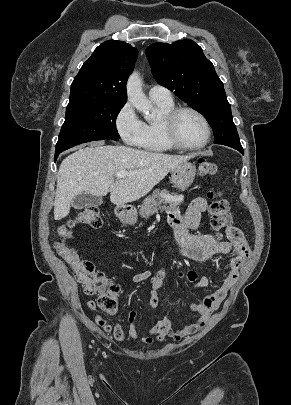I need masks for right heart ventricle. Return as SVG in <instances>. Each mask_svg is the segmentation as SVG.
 <instances>
[{
  "label": "right heart ventricle",
  "instance_id": "right-heart-ventricle-1",
  "mask_svg": "<svg viewBox=\"0 0 291 405\" xmlns=\"http://www.w3.org/2000/svg\"><path fill=\"white\" fill-rule=\"evenodd\" d=\"M159 111V117L156 120L144 123V134L140 147L149 152H167L176 149L172 146L164 133L163 118L174 109V102L154 101Z\"/></svg>",
  "mask_w": 291,
  "mask_h": 405
}]
</instances>
